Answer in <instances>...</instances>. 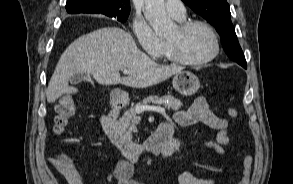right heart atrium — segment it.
Instances as JSON below:
<instances>
[{"mask_svg": "<svg viewBox=\"0 0 293 184\" xmlns=\"http://www.w3.org/2000/svg\"><path fill=\"white\" fill-rule=\"evenodd\" d=\"M132 30L140 47L149 56L158 58L163 50L164 41L155 34L148 22L143 18H135Z\"/></svg>", "mask_w": 293, "mask_h": 184, "instance_id": "obj_1", "label": "right heart atrium"}]
</instances>
